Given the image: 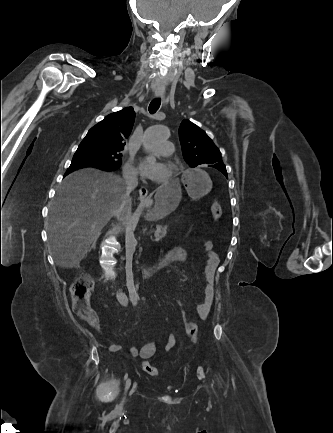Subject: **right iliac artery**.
Listing matches in <instances>:
<instances>
[{"instance_id":"1","label":"right iliac artery","mask_w":333,"mask_h":433,"mask_svg":"<svg viewBox=\"0 0 333 433\" xmlns=\"http://www.w3.org/2000/svg\"><path fill=\"white\" fill-rule=\"evenodd\" d=\"M127 378H128V374L126 373L125 376H124V380H126ZM126 391H127V390H126ZM124 401H125V398L122 399V401H121V403H120L119 406H122L123 403H124Z\"/></svg>"}]
</instances>
